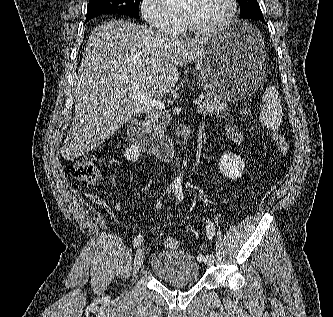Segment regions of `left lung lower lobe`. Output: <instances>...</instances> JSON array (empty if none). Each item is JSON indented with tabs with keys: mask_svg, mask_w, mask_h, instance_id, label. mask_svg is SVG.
<instances>
[{
	"mask_svg": "<svg viewBox=\"0 0 333 317\" xmlns=\"http://www.w3.org/2000/svg\"><path fill=\"white\" fill-rule=\"evenodd\" d=\"M260 21H262V22H264V23H265V20H264V18L260 19Z\"/></svg>",
	"mask_w": 333,
	"mask_h": 317,
	"instance_id": "left-lung-lower-lobe-1",
	"label": "left lung lower lobe"
}]
</instances>
